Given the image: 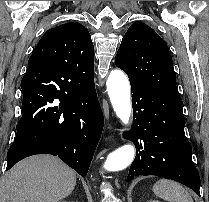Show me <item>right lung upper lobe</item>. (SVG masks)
Returning a JSON list of instances; mask_svg holds the SVG:
<instances>
[{
	"mask_svg": "<svg viewBox=\"0 0 209 202\" xmlns=\"http://www.w3.org/2000/svg\"><path fill=\"white\" fill-rule=\"evenodd\" d=\"M29 69H44L66 87L82 89L94 83V47L88 30L68 22L48 30L28 61Z\"/></svg>",
	"mask_w": 209,
	"mask_h": 202,
	"instance_id": "cb5924a9",
	"label": "right lung upper lobe"
}]
</instances>
